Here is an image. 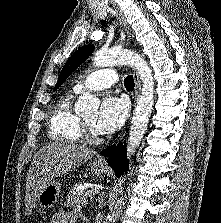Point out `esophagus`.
Wrapping results in <instances>:
<instances>
[{"label": "esophagus", "instance_id": "34e87169", "mask_svg": "<svg viewBox=\"0 0 221 223\" xmlns=\"http://www.w3.org/2000/svg\"><path fill=\"white\" fill-rule=\"evenodd\" d=\"M113 7L115 8V11L118 13V15L120 17V21H121L123 28L127 34V42L130 43L132 38H131L129 26H128L123 14L119 11L117 5L114 2H113ZM133 77H134V81H135V89H134V93H133L132 97H133V108H135L136 103L140 96V92H141V82H140L139 75L137 72L133 73ZM122 138H123V135L120 136V139H122ZM98 162L101 164L106 163L105 159H102V158L99 159Z\"/></svg>", "mask_w": 221, "mask_h": 223}]
</instances>
